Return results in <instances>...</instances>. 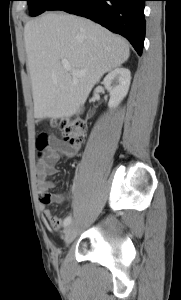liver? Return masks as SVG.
<instances>
[{"label": "liver", "mask_w": 181, "mask_h": 300, "mask_svg": "<svg viewBox=\"0 0 181 300\" xmlns=\"http://www.w3.org/2000/svg\"><path fill=\"white\" fill-rule=\"evenodd\" d=\"M24 40L36 122L76 114L100 78L130 55L122 37L66 13L49 12L27 22ZM62 61L85 74L73 76Z\"/></svg>", "instance_id": "liver-1"}]
</instances>
